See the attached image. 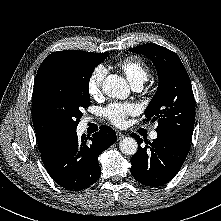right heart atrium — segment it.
<instances>
[{
    "label": "right heart atrium",
    "mask_w": 221,
    "mask_h": 221,
    "mask_svg": "<svg viewBox=\"0 0 221 221\" xmlns=\"http://www.w3.org/2000/svg\"><path fill=\"white\" fill-rule=\"evenodd\" d=\"M105 76L106 69L102 65L91 71L87 80V92L92 98H97L101 94V86Z\"/></svg>",
    "instance_id": "1"
}]
</instances>
